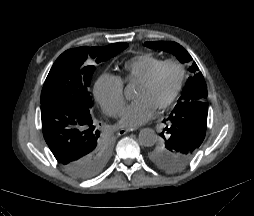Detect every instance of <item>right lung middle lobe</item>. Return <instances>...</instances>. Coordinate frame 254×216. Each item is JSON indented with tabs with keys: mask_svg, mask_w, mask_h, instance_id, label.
<instances>
[{
	"mask_svg": "<svg viewBox=\"0 0 254 216\" xmlns=\"http://www.w3.org/2000/svg\"><path fill=\"white\" fill-rule=\"evenodd\" d=\"M127 47L126 43H115L104 47L85 46L65 51L57 58L45 80L41 92V104L51 99H64L82 109L90 110L92 101L87 89L95 66L88 65V62L106 61ZM94 132L101 142L98 157V168L101 170L110 157L111 148L105 136L95 127Z\"/></svg>",
	"mask_w": 254,
	"mask_h": 216,
	"instance_id": "right-lung-middle-lobe-1",
	"label": "right lung middle lobe"
}]
</instances>
